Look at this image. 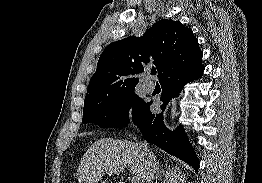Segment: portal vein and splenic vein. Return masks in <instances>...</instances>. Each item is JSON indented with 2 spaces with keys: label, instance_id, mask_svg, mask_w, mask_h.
Masks as SVG:
<instances>
[{
  "label": "portal vein and splenic vein",
  "instance_id": "1",
  "mask_svg": "<svg viewBox=\"0 0 262 183\" xmlns=\"http://www.w3.org/2000/svg\"><path fill=\"white\" fill-rule=\"evenodd\" d=\"M119 172H123V170ZM119 172H115V174H119ZM131 183H140V179L138 177H132Z\"/></svg>",
  "mask_w": 262,
  "mask_h": 183
}]
</instances>
